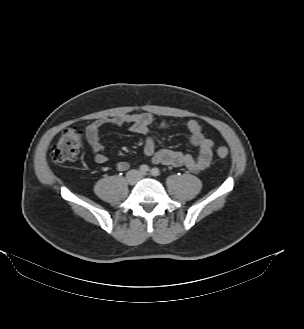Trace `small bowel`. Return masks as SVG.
<instances>
[{"mask_svg": "<svg viewBox=\"0 0 304 329\" xmlns=\"http://www.w3.org/2000/svg\"><path fill=\"white\" fill-rule=\"evenodd\" d=\"M155 120L150 113L122 114L113 118H103L96 120L85 127V137L88 146L93 154L94 160L98 164L109 161V157L104 153V146L100 140L102 127L105 125L127 126L133 133L144 138V154L155 164L171 165L175 167L185 166L193 172H200L206 169L212 160L213 142L206 138L200 124L195 120H190L185 125V130L189 133V139L193 146L198 149L197 155L190 153L173 151L166 148L157 149L153 138L150 136L151 126ZM161 129H172L175 125L170 121L158 123ZM129 164L125 161L117 163V170L126 171Z\"/></svg>", "mask_w": 304, "mask_h": 329, "instance_id": "obj_1", "label": "small bowel"}]
</instances>
